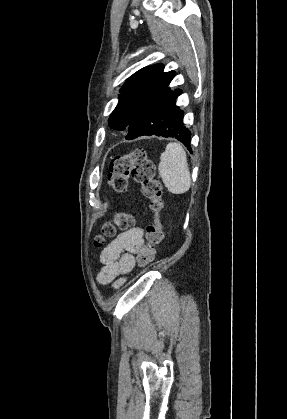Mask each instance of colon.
Here are the masks:
<instances>
[{
  "label": "colon",
  "mask_w": 287,
  "mask_h": 419,
  "mask_svg": "<svg viewBox=\"0 0 287 419\" xmlns=\"http://www.w3.org/2000/svg\"><path fill=\"white\" fill-rule=\"evenodd\" d=\"M140 185L141 192L149 200L150 208L154 213L153 220L147 225V244L137 253V263L144 267L150 264L156 256V246L163 238L162 228L158 213L163 207L162 186L155 179V167L142 148L135 149L131 153L112 159L109 165L108 182L112 189L118 193L128 191V178ZM115 224L120 229H127L134 224V218L130 214H119ZM116 232L114 224L107 222L102 225L101 235L94 240V246L101 248L105 238L112 237Z\"/></svg>",
  "instance_id": "5ec220e1"
}]
</instances>
